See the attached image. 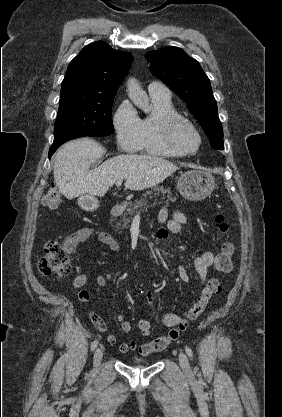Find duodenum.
I'll return each instance as SVG.
<instances>
[{"mask_svg": "<svg viewBox=\"0 0 282 417\" xmlns=\"http://www.w3.org/2000/svg\"><path fill=\"white\" fill-rule=\"evenodd\" d=\"M123 207L121 204H115L111 209H110V216L112 217H117L122 213Z\"/></svg>", "mask_w": 282, "mask_h": 417, "instance_id": "410a0bca", "label": "duodenum"}]
</instances>
